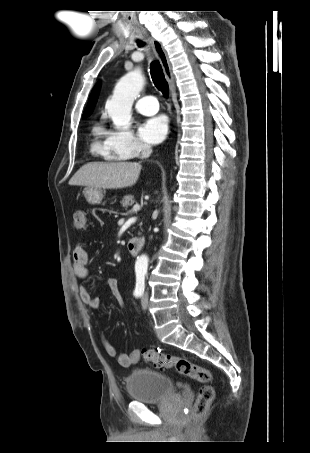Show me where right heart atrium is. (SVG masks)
<instances>
[{
  "label": "right heart atrium",
  "mask_w": 310,
  "mask_h": 453,
  "mask_svg": "<svg viewBox=\"0 0 310 453\" xmlns=\"http://www.w3.org/2000/svg\"><path fill=\"white\" fill-rule=\"evenodd\" d=\"M104 135L109 150L122 158L135 157L147 148L129 128L106 130Z\"/></svg>",
  "instance_id": "d8ad5b80"
}]
</instances>
